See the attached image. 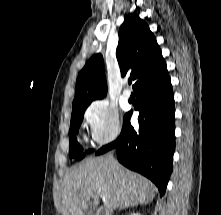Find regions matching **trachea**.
Listing matches in <instances>:
<instances>
[{
    "mask_svg": "<svg viewBox=\"0 0 221 215\" xmlns=\"http://www.w3.org/2000/svg\"><path fill=\"white\" fill-rule=\"evenodd\" d=\"M128 83L131 84V83H132V79H129V80H128Z\"/></svg>",
    "mask_w": 221,
    "mask_h": 215,
    "instance_id": "3493384b",
    "label": "trachea"
}]
</instances>
